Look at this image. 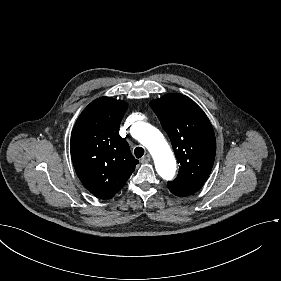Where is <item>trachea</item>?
Instances as JSON below:
<instances>
[{
  "instance_id": "1",
  "label": "trachea",
  "mask_w": 281,
  "mask_h": 281,
  "mask_svg": "<svg viewBox=\"0 0 281 281\" xmlns=\"http://www.w3.org/2000/svg\"><path fill=\"white\" fill-rule=\"evenodd\" d=\"M134 154L139 159L144 155V149L142 147H136L134 150Z\"/></svg>"
}]
</instances>
